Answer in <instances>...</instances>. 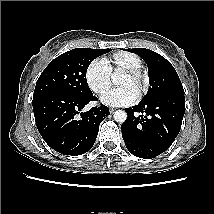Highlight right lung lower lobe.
Returning <instances> with one entry per match:
<instances>
[{
  "label": "right lung lower lobe",
  "mask_w": 214,
  "mask_h": 214,
  "mask_svg": "<svg viewBox=\"0 0 214 214\" xmlns=\"http://www.w3.org/2000/svg\"><path fill=\"white\" fill-rule=\"evenodd\" d=\"M97 97L59 93L33 98L36 125L42 138L53 150L77 156L89 151L96 140L99 125L109 114L107 106L80 111ZM80 114V116H79Z\"/></svg>",
  "instance_id": "right-lung-lower-lobe-1"
}]
</instances>
